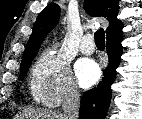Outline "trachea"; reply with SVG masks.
I'll return each mask as SVG.
<instances>
[{"mask_svg": "<svg viewBox=\"0 0 142 119\" xmlns=\"http://www.w3.org/2000/svg\"><path fill=\"white\" fill-rule=\"evenodd\" d=\"M94 39L97 47H105V32L103 28H100L95 32Z\"/></svg>", "mask_w": 142, "mask_h": 119, "instance_id": "trachea-1", "label": "trachea"}]
</instances>
